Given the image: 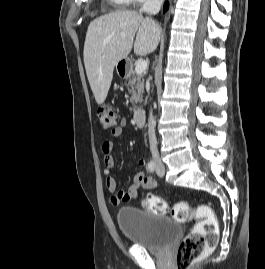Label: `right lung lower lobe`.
Wrapping results in <instances>:
<instances>
[{"label": "right lung lower lobe", "mask_w": 265, "mask_h": 269, "mask_svg": "<svg viewBox=\"0 0 265 269\" xmlns=\"http://www.w3.org/2000/svg\"><path fill=\"white\" fill-rule=\"evenodd\" d=\"M168 9V2L165 3L164 12Z\"/></svg>", "instance_id": "1"}]
</instances>
